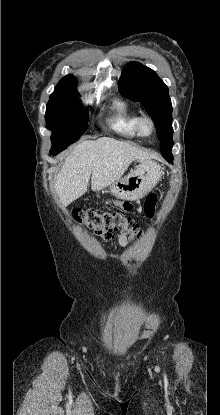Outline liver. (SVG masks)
I'll return each mask as SVG.
<instances>
[{
    "label": "liver",
    "instance_id": "liver-1",
    "mask_svg": "<svg viewBox=\"0 0 220 415\" xmlns=\"http://www.w3.org/2000/svg\"><path fill=\"white\" fill-rule=\"evenodd\" d=\"M151 155L128 142L110 137L87 140L74 147L55 179V192L63 207L80 198L88 190L99 191L121 179L135 159Z\"/></svg>",
    "mask_w": 220,
    "mask_h": 415
}]
</instances>
